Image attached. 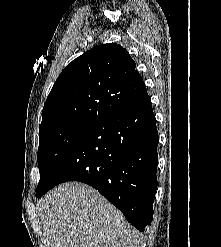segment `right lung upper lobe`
I'll list each match as a JSON object with an SVG mask.
<instances>
[{
	"mask_svg": "<svg viewBox=\"0 0 221 247\" xmlns=\"http://www.w3.org/2000/svg\"><path fill=\"white\" fill-rule=\"evenodd\" d=\"M146 95L125 48L116 43L96 46L59 75L44 104L39 131L69 123L96 125Z\"/></svg>",
	"mask_w": 221,
	"mask_h": 247,
	"instance_id": "obj_1",
	"label": "right lung upper lobe"
}]
</instances>
